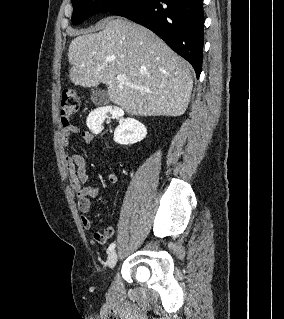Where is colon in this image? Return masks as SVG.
<instances>
[{
	"label": "colon",
	"mask_w": 284,
	"mask_h": 319,
	"mask_svg": "<svg viewBox=\"0 0 284 319\" xmlns=\"http://www.w3.org/2000/svg\"><path fill=\"white\" fill-rule=\"evenodd\" d=\"M81 108V100L78 94L71 89L64 90L60 99V116L63 127L70 125V119Z\"/></svg>",
	"instance_id": "5ec220e1"
}]
</instances>
